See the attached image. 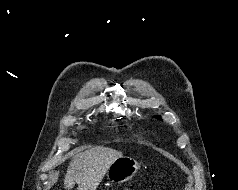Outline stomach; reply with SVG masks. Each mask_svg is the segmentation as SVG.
Wrapping results in <instances>:
<instances>
[{
	"label": "stomach",
	"instance_id": "1",
	"mask_svg": "<svg viewBox=\"0 0 238 190\" xmlns=\"http://www.w3.org/2000/svg\"><path fill=\"white\" fill-rule=\"evenodd\" d=\"M138 162L131 157L117 159L107 170V178L114 183L130 180L139 169Z\"/></svg>",
	"mask_w": 238,
	"mask_h": 190
}]
</instances>
